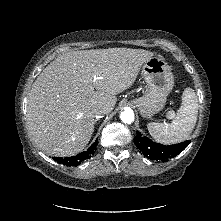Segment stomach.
Masks as SVG:
<instances>
[{
  "label": "stomach",
  "mask_w": 221,
  "mask_h": 221,
  "mask_svg": "<svg viewBox=\"0 0 221 221\" xmlns=\"http://www.w3.org/2000/svg\"><path fill=\"white\" fill-rule=\"evenodd\" d=\"M142 76L147 84L145 94L133 100L140 114L150 118L163 110L168 94L174 86L170 67L160 57H151L142 66Z\"/></svg>",
  "instance_id": "obj_1"
}]
</instances>
